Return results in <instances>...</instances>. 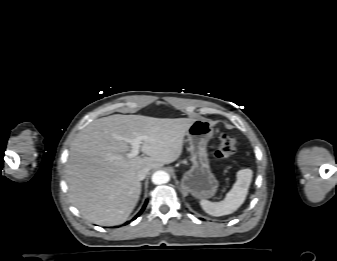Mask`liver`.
<instances>
[{
  "instance_id": "liver-1",
  "label": "liver",
  "mask_w": 337,
  "mask_h": 261,
  "mask_svg": "<svg viewBox=\"0 0 337 261\" xmlns=\"http://www.w3.org/2000/svg\"><path fill=\"white\" fill-rule=\"evenodd\" d=\"M194 120L115 114L88 124L74 139L66 164L72 204L92 223L125 222L141 194L138 172L176 161ZM141 135L148 136L140 146L146 156L129 158L124 138Z\"/></svg>"
}]
</instances>
